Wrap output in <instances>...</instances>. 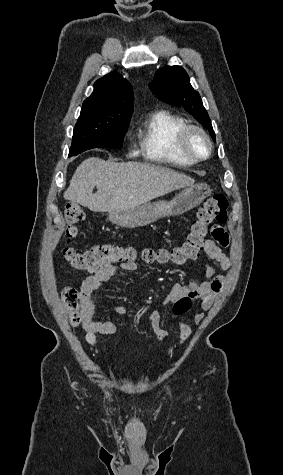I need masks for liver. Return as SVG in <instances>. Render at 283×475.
Segmentation results:
<instances>
[{"label":"liver","instance_id":"obj_1","mask_svg":"<svg viewBox=\"0 0 283 475\" xmlns=\"http://www.w3.org/2000/svg\"><path fill=\"white\" fill-rule=\"evenodd\" d=\"M194 184L193 178L154 164H112L88 158L73 174L64 198L91 212H120L140 208L154 198ZM95 186L97 192L93 194Z\"/></svg>","mask_w":283,"mask_h":475}]
</instances>
